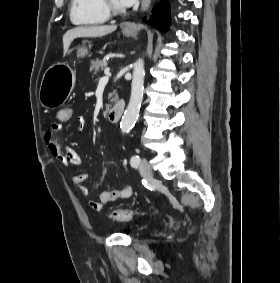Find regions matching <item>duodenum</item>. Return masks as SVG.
Masks as SVG:
<instances>
[{
  "label": "duodenum",
  "mask_w": 280,
  "mask_h": 283,
  "mask_svg": "<svg viewBox=\"0 0 280 283\" xmlns=\"http://www.w3.org/2000/svg\"><path fill=\"white\" fill-rule=\"evenodd\" d=\"M125 104L123 101L118 102L116 105H114L110 111L107 114V120L110 123H117L124 112Z\"/></svg>",
  "instance_id": "1"
}]
</instances>
